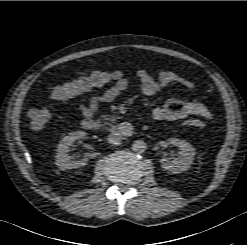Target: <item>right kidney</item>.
Here are the masks:
<instances>
[{"instance_id":"obj_1","label":"right kidney","mask_w":247,"mask_h":245,"mask_svg":"<svg viewBox=\"0 0 247 245\" xmlns=\"http://www.w3.org/2000/svg\"><path fill=\"white\" fill-rule=\"evenodd\" d=\"M87 133L84 131L71 132L60 141L57 147L56 153V165L61 170L74 169L85 166L88 163V158L84 157L82 159L74 160L68 155L69 146L77 139L86 138Z\"/></svg>"}]
</instances>
